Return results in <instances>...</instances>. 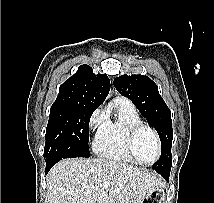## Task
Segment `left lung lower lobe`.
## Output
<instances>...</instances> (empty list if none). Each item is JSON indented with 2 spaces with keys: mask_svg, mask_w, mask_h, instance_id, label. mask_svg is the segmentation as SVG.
Wrapping results in <instances>:
<instances>
[{
  "mask_svg": "<svg viewBox=\"0 0 214 203\" xmlns=\"http://www.w3.org/2000/svg\"><path fill=\"white\" fill-rule=\"evenodd\" d=\"M161 175L168 181L170 172H165V173H162Z\"/></svg>",
  "mask_w": 214,
  "mask_h": 203,
  "instance_id": "0a47b994",
  "label": "left lung lower lobe"
}]
</instances>
